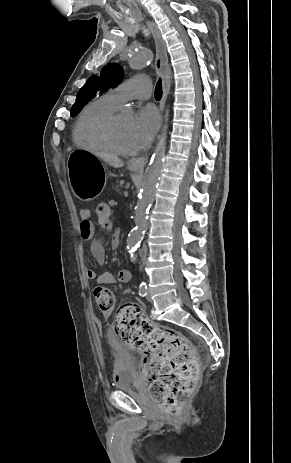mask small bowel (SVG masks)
I'll return each instance as SVG.
<instances>
[{"label":"small bowel","mask_w":291,"mask_h":463,"mask_svg":"<svg viewBox=\"0 0 291 463\" xmlns=\"http://www.w3.org/2000/svg\"><path fill=\"white\" fill-rule=\"evenodd\" d=\"M80 224L79 235L83 241L90 242V253L99 265H103L106 258V251L102 242L94 237V225L91 221V211L88 208H82L79 211ZM105 230H111V226H101ZM121 233L117 228L113 229L111 244L114 249H117L120 244ZM85 277L89 281H95L98 284L112 285L116 281L120 283H128L131 279V273L128 270L119 271L117 277L110 271L97 273L92 269H88Z\"/></svg>","instance_id":"c3829d8e"}]
</instances>
